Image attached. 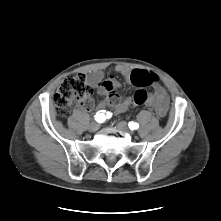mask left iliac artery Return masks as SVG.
I'll use <instances>...</instances> for the list:
<instances>
[{
    "instance_id": "obj_1",
    "label": "left iliac artery",
    "mask_w": 221,
    "mask_h": 221,
    "mask_svg": "<svg viewBox=\"0 0 221 221\" xmlns=\"http://www.w3.org/2000/svg\"><path fill=\"white\" fill-rule=\"evenodd\" d=\"M128 125H129V128H130L131 130H136V129L139 128V124L136 123V122H129Z\"/></svg>"
}]
</instances>
